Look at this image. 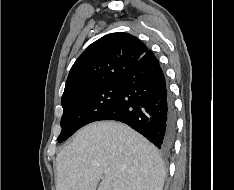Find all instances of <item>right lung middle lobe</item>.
<instances>
[{"label": "right lung middle lobe", "instance_id": "1", "mask_svg": "<svg viewBox=\"0 0 234 190\" xmlns=\"http://www.w3.org/2000/svg\"><path fill=\"white\" fill-rule=\"evenodd\" d=\"M121 83L114 82L79 92L62 101V131L58 137L63 142L84 125L97 121L118 98Z\"/></svg>", "mask_w": 234, "mask_h": 190}]
</instances>
